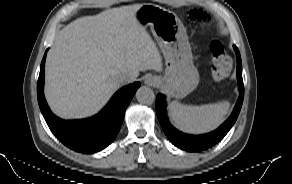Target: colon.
<instances>
[{
	"mask_svg": "<svg viewBox=\"0 0 292 184\" xmlns=\"http://www.w3.org/2000/svg\"><path fill=\"white\" fill-rule=\"evenodd\" d=\"M193 18L201 17V14L197 11L191 13ZM211 49L213 53V57L216 63V68L214 71V78L216 80L224 79L231 68V61L227 54L219 47L217 42H213L211 44Z\"/></svg>",
	"mask_w": 292,
	"mask_h": 184,
	"instance_id": "colon-1",
	"label": "colon"
}]
</instances>
